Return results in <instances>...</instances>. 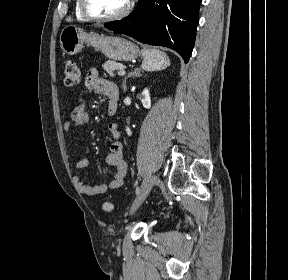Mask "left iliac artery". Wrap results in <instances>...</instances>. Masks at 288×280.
<instances>
[{
  "label": "left iliac artery",
  "instance_id": "44dca946",
  "mask_svg": "<svg viewBox=\"0 0 288 280\" xmlns=\"http://www.w3.org/2000/svg\"><path fill=\"white\" fill-rule=\"evenodd\" d=\"M143 186H144L143 182H140L139 184H135L133 195L139 196Z\"/></svg>",
  "mask_w": 288,
  "mask_h": 280
}]
</instances>
